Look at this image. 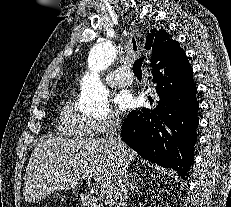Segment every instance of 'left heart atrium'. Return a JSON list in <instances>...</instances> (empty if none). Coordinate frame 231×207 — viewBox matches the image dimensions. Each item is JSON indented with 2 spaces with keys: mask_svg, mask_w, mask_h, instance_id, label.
Segmentation results:
<instances>
[{
  "mask_svg": "<svg viewBox=\"0 0 231 207\" xmlns=\"http://www.w3.org/2000/svg\"><path fill=\"white\" fill-rule=\"evenodd\" d=\"M113 104L119 111H125L133 104V96L128 90H122L113 97Z\"/></svg>",
  "mask_w": 231,
  "mask_h": 207,
  "instance_id": "1",
  "label": "left heart atrium"
}]
</instances>
